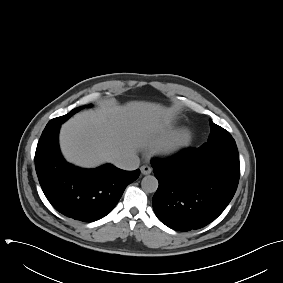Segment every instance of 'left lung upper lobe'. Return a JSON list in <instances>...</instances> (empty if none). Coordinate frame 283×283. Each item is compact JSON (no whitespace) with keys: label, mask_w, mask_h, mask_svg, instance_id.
Instances as JSON below:
<instances>
[{"label":"left lung upper lobe","mask_w":283,"mask_h":283,"mask_svg":"<svg viewBox=\"0 0 283 283\" xmlns=\"http://www.w3.org/2000/svg\"><path fill=\"white\" fill-rule=\"evenodd\" d=\"M211 133L208 142L198 148V151L205 153H215L231 158L239 159L238 149L235 140L222 127L209 120Z\"/></svg>","instance_id":"5c2ea615"}]
</instances>
